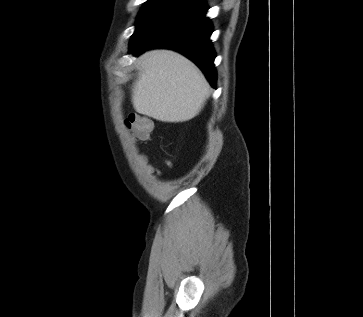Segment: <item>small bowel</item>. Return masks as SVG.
<instances>
[{"label":"small bowel","mask_w":363,"mask_h":317,"mask_svg":"<svg viewBox=\"0 0 363 317\" xmlns=\"http://www.w3.org/2000/svg\"><path fill=\"white\" fill-rule=\"evenodd\" d=\"M149 170H150L151 172H154V171H155V168H154L153 166H149Z\"/></svg>","instance_id":"small-bowel-1"}]
</instances>
